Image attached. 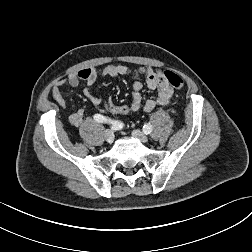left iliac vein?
<instances>
[{"mask_svg":"<svg viewBox=\"0 0 252 252\" xmlns=\"http://www.w3.org/2000/svg\"><path fill=\"white\" fill-rule=\"evenodd\" d=\"M132 136L140 140L142 143L148 142V137L145 134H143L140 130L132 131Z\"/></svg>","mask_w":252,"mask_h":252,"instance_id":"4c4485c4","label":"left iliac vein"}]
</instances>
